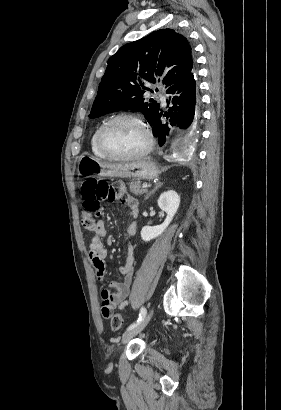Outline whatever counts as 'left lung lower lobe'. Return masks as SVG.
Returning <instances> with one entry per match:
<instances>
[{
	"instance_id": "0a47b994",
	"label": "left lung lower lobe",
	"mask_w": 281,
	"mask_h": 410,
	"mask_svg": "<svg viewBox=\"0 0 281 410\" xmlns=\"http://www.w3.org/2000/svg\"><path fill=\"white\" fill-rule=\"evenodd\" d=\"M166 93L170 94L167 104H171L168 113L164 116L169 119L171 125H177L183 129V137L186 141H193L198 136L197 124L199 120V96L197 89V74L193 71L182 80L170 86ZM162 111H159L154 121L150 124L153 135L158 138L160 146L166 142L169 133L168 123L161 122Z\"/></svg>"
}]
</instances>
